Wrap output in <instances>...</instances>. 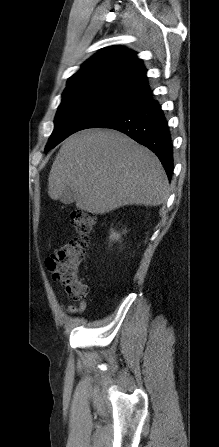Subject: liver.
Instances as JSON below:
<instances>
[{
    "instance_id": "1",
    "label": "liver",
    "mask_w": 219,
    "mask_h": 447,
    "mask_svg": "<svg viewBox=\"0 0 219 447\" xmlns=\"http://www.w3.org/2000/svg\"><path fill=\"white\" fill-rule=\"evenodd\" d=\"M68 189L76 207L93 214L133 204L158 206L169 197L156 155L113 130L87 129L64 141L49 174L48 195L58 200Z\"/></svg>"
}]
</instances>
